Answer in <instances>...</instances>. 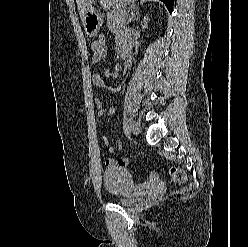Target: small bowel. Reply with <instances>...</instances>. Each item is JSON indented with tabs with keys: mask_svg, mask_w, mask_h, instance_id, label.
<instances>
[{
	"mask_svg": "<svg viewBox=\"0 0 248 247\" xmlns=\"http://www.w3.org/2000/svg\"><path fill=\"white\" fill-rule=\"evenodd\" d=\"M117 49L120 50L121 53L123 50L128 51L126 41L124 40L123 37H118ZM105 53H106V51H105V38H104V36L101 35L95 41H93L91 44V57H90L91 62L93 64L98 63L99 61H101L105 57ZM92 83L96 87H99V88L109 87L105 83L103 77L98 73L93 74ZM109 88H112L116 92H118L120 90L119 87H109ZM95 107L98 110L97 116L99 118L104 117V116H111L115 113V109L113 106L104 107L101 99L98 97L95 99ZM103 140H104V144L106 145L108 151L110 153H113L115 151L114 146H112L109 143L107 137L104 136ZM128 164H129V158L128 157H123V158H119V159L109 157L105 161V165H106L107 169L113 168V167H124V166H127Z\"/></svg>",
	"mask_w": 248,
	"mask_h": 247,
	"instance_id": "1",
	"label": "small bowel"
}]
</instances>
